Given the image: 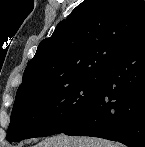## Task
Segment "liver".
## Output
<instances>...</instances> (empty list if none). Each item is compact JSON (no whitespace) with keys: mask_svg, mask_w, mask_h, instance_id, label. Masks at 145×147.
<instances>
[{"mask_svg":"<svg viewBox=\"0 0 145 147\" xmlns=\"http://www.w3.org/2000/svg\"><path fill=\"white\" fill-rule=\"evenodd\" d=\"M34 147H123L101 138L94 137H71L64 134L46 138Z\"/></svg>","mask_w":145,"mask_h":147,"instance_id":"obj_1","label":"liver"}]
</instances>
